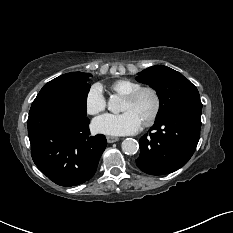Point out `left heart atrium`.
<instances>
[{"mask_svg": "<svg viewBox=\"0 0 233 233\" xmlns=\"http://www.w3.org/2000/svg\"><path fill=\"white\" fill-rule=\"evenodd\" d=\"M141 119L133 111L121 114H104L95 118L92 128L95 132L110 136L133 134L142 126Z\"/></svg>", "mask_w": 233, "mask_h": 233, "instance_id": "39dd6f15", "label": "left heart atrium"}]
</instances>
